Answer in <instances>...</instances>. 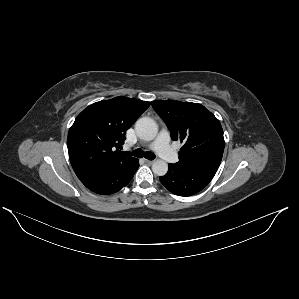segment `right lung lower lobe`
I'll return each instance as SVG.
<instances>
[{
  "label": "right lung lower lobe",
  "mask_w": 299,
  "mask_h": 299,
  "mask_svg": "<svg viewBox=\"0 0 299 299\" xmlns=\"http://www.w3.org/2000/svg\"><path fill=\"white\" fill-rule=\"evenodd\" d=\"M138 167V159H136L131 163L105 168L79 179L91 191L97 194L108 195L126 186L131 181Z\"/></svg>",
  "instance_id": "obj_1"
}]
</instances>
